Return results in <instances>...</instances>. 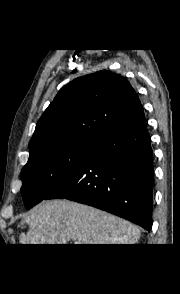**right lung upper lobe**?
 <instances>
[{
  "mask_svg": "<svg viewBox=\"0 0 180 294\" xmlns=\"http://www.w3.org/2000/svg\"><path fill=\"white\" fill-rule=\"evenodd\" d=\"M140 106L134 89L119 74L99 71L77 78L58 92L38 121L30 157L71 140L98 141Z\"/></svg>",
  "mask_w": 180,
  "mask_h": 294,
  "instance_id": "cb5924a9",
  "label": "right lung upper lobe"
}]
</instances>
